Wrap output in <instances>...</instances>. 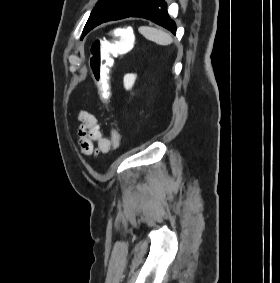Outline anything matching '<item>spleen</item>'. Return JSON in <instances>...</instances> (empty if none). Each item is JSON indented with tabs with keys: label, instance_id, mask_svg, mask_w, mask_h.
<instances>
[{
	"label": "spleen",
	"instance_id": "spleen-1",
	"mask_svg": "<svg viewBox=\"0 0 280 283\" xmlns=\"http://www.w3.org/2000/svg\"><path fill=\"white\" fill-rule=\"evenodd\" d=\"M138 30L146 39L159 45L167 46L173 42L172 37L163 30L148 26H141Z\"/></svg>",
	"mask_w": 280,
	"mask_h": 283
}]
</instances>
